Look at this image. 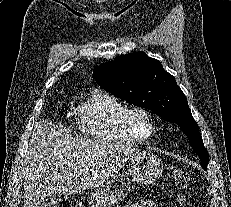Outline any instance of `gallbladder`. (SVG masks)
<instances>
[{"label":"gallbladder","mask_w":231,"mask_h":207,"mask_svg":"<svg viewBox=\"0 0 231 207\" xmlns=\"http://www.w3.org/2000/svg\"><path fill=\"white\" fill-rule=\"evenodd\" d=\"M56 202H57V196L55 194L46 197L47 204L56 203Z\"/></svg>","instance_id":"bac80fb5"}]
</instances>
